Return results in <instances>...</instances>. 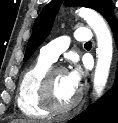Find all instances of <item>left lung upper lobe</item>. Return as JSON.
<instances>
[{"label":"left lung upper lobe","mask_w":118,"mask_h":123,"mask_svg":"<svg viewBox=\"0 0 118 123\" xmlns=\"http://www.w3.org/2000/svg\"><path fill=\"white\" fill-rule=\"evenodd\" d=\"M63 0H53L48 3L36 18L31 37L28 41L24 60H28L39 45L49 35L55 16ZM89 7L98 11L108 21L115 16L114 4L111 0H66L65 5Z\"/></svg>","instance_id":"5c2ea615"}]
</instances>
